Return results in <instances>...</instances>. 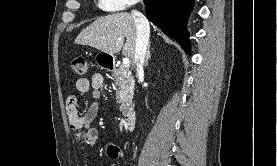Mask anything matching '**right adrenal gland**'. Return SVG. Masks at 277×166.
Masks as SVG:
<instances>
[{"label": "right adrenal gland", "mask_w": 277, "mask_h": 166, "mask_svg": "<svg viewBox=\"0 0 277 166\" xmlns=\"http://www.w3.org/2000/svg\"><path fill=\"white\" fill-rule=\"evenodd\" d=\"M150 57H151V54H150V44H149L147 54H146V58H145V66L148 65V60L150 59Z\"/></svg>", "instance_id": "1"}]
</instances>
